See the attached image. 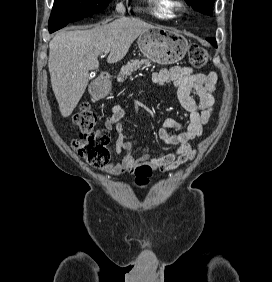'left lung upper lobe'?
<instances>
[{
    "instance_id": "obj_1",
    "label": "left lung upper lobe",
    "mask_w": 272,
    "mask_h": 282,
    "mask_svg": "<svg viewBox=\"0 0 272 282\" xmlns=\"http://www.w3.org/2000/svg\"><path fill=\"white\" fill-rule=\"evenodd\" d=\"M188 5L193 9L212 16L213 13V3L215 0H185Z\"/></svg>"
}]
</instances>
